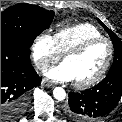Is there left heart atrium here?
<instances>
[{
	"label": "left heart atrium",
	"mask_w": 122,
	"mask_h": 122,
	"mask_svg": "<svg viewBox=\"0 0 122 122\" xmlns=\"http://www.w3.org/2000/svg\"><path fill=\"white\" fill-rule=\"evenodd\" d=\"M45 76L56 82H72L73 77L66 63H61L45 72Z\"/></svg>",
	"instance_id": "left-heart-atrium-1"
}]
</instances>
